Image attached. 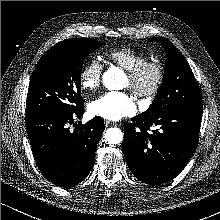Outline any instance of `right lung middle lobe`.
<instances>
[{
	"mask_svg": "<svg viewBox=\"0 0 220 220\" xmlns=\"http://www.w3.org/2000/svg\"><path fill=\"white\" fill-rule=\"evenodd\" d=\"M102 44L91 39H66L40 59L29 84L26 112H72L84 104L81 71L85 58Z\"/></svg>",
	"mask_w": 220,
	"mask_h": 220,
	"instance_id": "1",
	"label": "right lung middle lobe"
}]
</instances>
